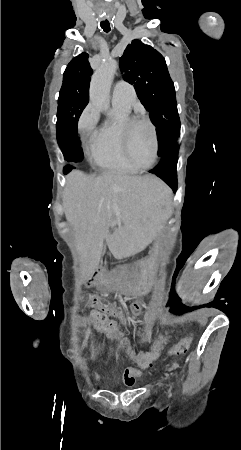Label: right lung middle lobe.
Listing matches in <instances>:
<instances>
[{
	"instance_id": "dd1d6c3e",
	"label": "right lung middle lobe",
	"mask_w": 241,
	"mask_h": 450,
	"mask_svg": "<svg viewBox=\"0 0 241 450\" xmlns=\"http://www.w3.org/2000/svg\"><path fill=\"white\" fill-rule=\"evenodd\" d=\"M89 82L90 77H82L63 82L58 99L57 111V140L60 143L64 158L70 164L64 167V173L72 170V164L80 162L83 154L73 157L67 156L66 135L70 124L75 117H79L89 101Z\"/></svg>"
}]
</instances>
